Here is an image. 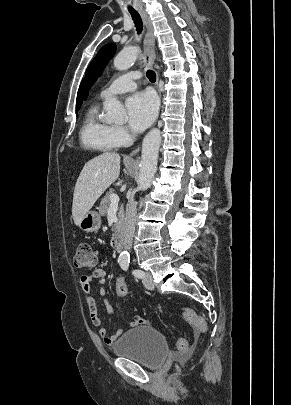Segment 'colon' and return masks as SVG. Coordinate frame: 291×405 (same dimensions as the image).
I'll return each instance as SVG.
<instances>
[{
	"instance_id": "colon-1",
	"label": "colon",
	"mask_w": 291,
	"mask_h": 405,
	"mask_svg": "<svg viewBox=\"0 0 291 405\" xmlns=\"http://www.w3.org/2000/svg\"><path fill=\"white\" fill-rule=\"evenodd\" d=\"M74 265L78 269L94 270L97 266L96 254L88 243H80L76 247L74 256ZM116 294L124 298L128 293L126 281L123 276H118L115 281ZM183 315L185 320L195 327L200 333L207 334L208 324L204 317L197 314L191 308H184ZM176 347L180 351L188 349V340L186 338H179L176 342Z\"/></svg>"
}]
</instances>
